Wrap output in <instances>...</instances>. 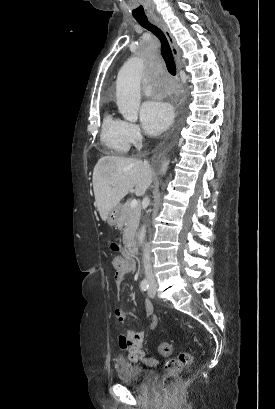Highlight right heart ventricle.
<instances>
[{"label": "right heart ventricle", "mask_w": 275, "mask_h": 409, "mask_svg": "<svg viewBox=\"0 0 275 409\" xmlns=\"http://www.w3.org/2000/svg\"><path fill=\"white\" fill-rule=\"evenodd\" d=\"M101 140L111 155L127 154L131 142L126 122L107 114L102 124Z\"/></svg>", "instance_id": "e07e8e85"}]
</instances>
